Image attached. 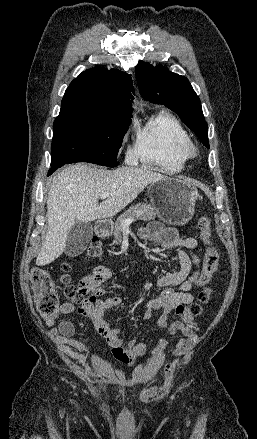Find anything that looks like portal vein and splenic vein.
<instances>
[{"label":"portal vein and splenic vein","mask_w":257,"mask_h":439,"mask_svg":"<svg viewBox=\"0 0 257 439\" xmlns=\"http://www.w3.org/2000/svg\"><path fill=\"white\" fill-rule=\"evenodd\" d=\"M109 195H110V193H108V192H102V193L100 194V198H101V199H105V198H107ZM133 221H134V220H133L132 218H128V219L124 220V221L122 222V226H123V228H128L129 225H130Z\"/></svg>","instance_id":"18ae733b"}]
</instances>
